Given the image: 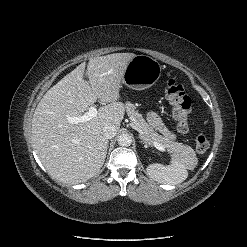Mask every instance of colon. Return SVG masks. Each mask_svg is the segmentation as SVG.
I'll list each match as a JSON object with an SVG mask.
<instances>
[{
	"label": "colon",
	"instance_id": "1",
	"mask_svg": "<svg viewBox=\"0 0 247 247\" xmlns=\"http://www.w3.org/2000/svg\"><path fill=\"white\" fill-rule=\"evenodd\" d=\"M166 99L172 108V114L177 122V129L186 133L190 127L191 99L186 94L184 86L174 77L169 76L166 86ZM195 147L198 152H205L209 148V140L203 133L195 138Z\"/></svg>",
	"mask_w": 247,
	"mask_h": 247
}]
</instances>
